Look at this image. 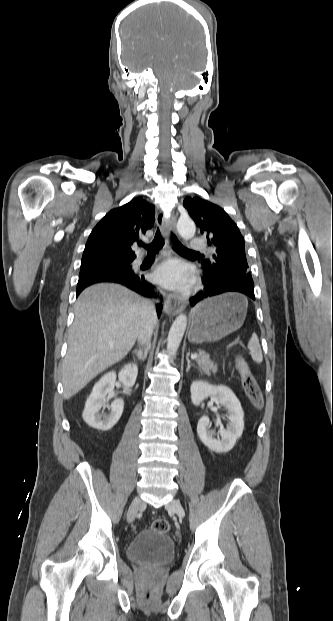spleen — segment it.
I'll return each instance as SVG.
<instances>
[{"instance_id":"1","label":"spleen","mask_w":333,"mask_h":621,"mask_svg":"<svg viewBox=\"0 0 333 621\" xmlns=\"http://www.w3.org/2000/svg\"><path fill=\"white\" fill-rule=\"evenodd\" d=\"M248 349L254 362L260 364L263 361V355L259 344L258 337L253 334L248 342Z\"/></svg>"}]
</instances>
